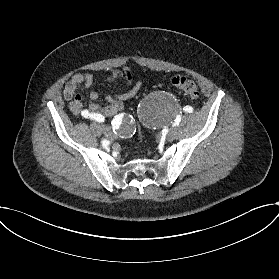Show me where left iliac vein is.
<instances>
[{"label": "left iliac vein", "mask_w": 279, "mask_h": 279, "mask_svg": "<svg viewBox=\"0 0 279 279\" xmlns=\"http://www.w3.org/2000/svg\"><path fill=\"white\" fill-rule=\"evenodd\" d=\"M174 138H175V133H174V131H170V132L167 133L166 139H167L168 141L171 142V141L174 140Z\"/></svg>", "instance_id": "obj_1"}]
</instances>
